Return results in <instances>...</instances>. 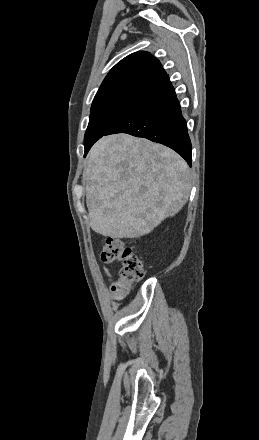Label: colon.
Listing matches in <instances>:
<instances>
[{"mask_svg":"<svg viewBox=\"0 0 259 440\" xmlns=\"http://www.w3.org/2000/svg\"><path fill=\"white\" fill-rule=\"evenodd\" d=\"M101 259L105 263H119L118 279L111 290L115 298L122 299L131 290L133 283L140 281L145 274L141 258L121 240L107 237L101 248Z\"/></svg>","mask_w":259,"mask_h":440,"instance_id":"obj_1","label":"colon"}]
</instances>
